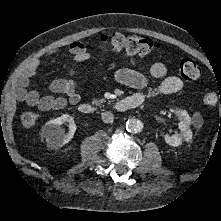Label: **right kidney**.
<instances>
[{
	"mask_svg": "<svg viewBox=\"0 0 221 221\" xmlns=\"http://www.w3.org/2000/svg\"><path fill=\"white\" fill-rule=\"evenodd\" d=\"M69 123V132L65 134L61 128L63 123ZM76 131V124L71 115L63 114L60 117L48 121L42 128V135L46 139L47 145L57 149L67 144Z\"/></svg>",
	"mask_w": 221,
	"mask_h": 221,
	"instance_id": "1",
	"label": "right kidney"
}]
</instances>
